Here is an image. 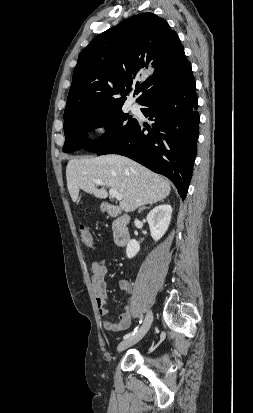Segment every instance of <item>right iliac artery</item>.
Instances as JSON below:
<instances>
[{"mask_svg": "<svg viewBox=\"0 0 253 413\" xmlns=\"http://www.w3.org/2000/svg\"><path fill=\"white\" fill-rule=\"evenodd\" d=\"M139 323H140V324L142 323V319L139 321ZM137 331H138V327H136L132 332L126 334V335L124 336V339H127V338L133 336Z\"/></svg>", "mask_w": 253, "mask_h": 413, "instance_id": "1", "label": "right iliac artery"}]
</instances>
